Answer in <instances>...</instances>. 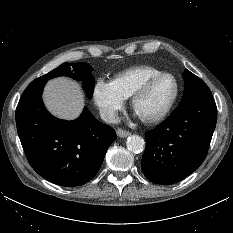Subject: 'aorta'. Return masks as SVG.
Here are the masks:
<instances>
[{
	"label": "aorta",
	"instance_id": "762f6f07",
	"mask_svg": "<svg viewBox=\"0 0 233 233\" xmlns=\"http://www.w3.org/2000/svg\"><path fill=\"white\" fill-rule=\"evenodd\" d=\"M126 146L133 153H140L144 150L145 142L142 137L132 135L127 138Z\"/></svg>",
	"mask_w": 233,
	"mask_h": 233
}]
</instances>
